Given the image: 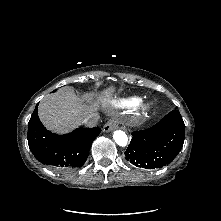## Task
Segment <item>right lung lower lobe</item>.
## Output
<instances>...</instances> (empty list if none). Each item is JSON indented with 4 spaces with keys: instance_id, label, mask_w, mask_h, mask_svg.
Returning a JSON list of instances; mask_svg holds the SVG:
<instances>
[{
    "instance_id": "obj_1",
    "label": "right lung lower lobe",
    "mask_w": 221,
    "mask_h": 221,
    "mask_svg": "<svg viewBox=\"0 0 221 221\" xmlns=\"http://www.w3.org/2000/svg\"><path fill=\"white\" fill-rule=\"evenodd\" d=\"M38 104L28 123V145L35 158L57 170L82 166L100 128H78L70 134L57 135L46 130L38 114Z\"/></svg>"
}]
</instances>
